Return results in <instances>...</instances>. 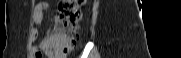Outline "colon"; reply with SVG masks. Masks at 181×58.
<instances>
[{
	"label": "colon",
	"instance_id": "colon-1",
	"mask_svg": "<svg viewBox=\"0 0 181 58\" xmlns=\"http://www.w3.org/2000/svg\"><path fill=\"white\" fill-rule=\"evenodd\" d=\"M84 5L85 0H64L59 3L55 29L48 37V49L54 55L65 56L76 46ZM41 57L42 53L36 55V58Z\"/></svg>",
	"mask_w": 181,
	"mask_h": 58
}]
</instances>
